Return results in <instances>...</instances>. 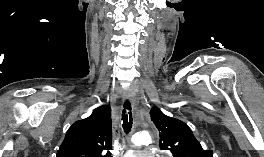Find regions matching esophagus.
<instances>
[{
    "label": "esophagus",
    "mask_w": 264,
    "mask_h": 157,
    "mask_svg": "<svg viewBox=\"0 0 264 157\" xmlns=\"http://www.w3.org/2000/svg\"><path fill=\"white\" fill-rule=\"evenodd\" d=\"M125 99H128V100L131 102L132 107L135 106V102H134V100L132 99L130 93H126V94H125Z\"/></svg>",
    "instance_id": "1"
}]
</instances>
